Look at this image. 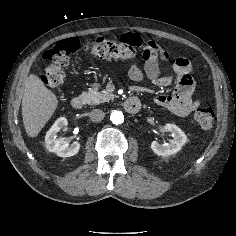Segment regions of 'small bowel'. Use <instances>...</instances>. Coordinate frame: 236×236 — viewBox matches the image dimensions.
I'll return each instance as SVG.
<instances>
[{"label":"small bowel","instance_id":"small-bowel-1","mask_svg":"<svg viewBox=\"0 0 236 236\" xmlns=\"http://www.w3.org/2000/svg\"><path fill=\"white\" fill-rule=\"evenodd\" d=\"M122 41L135 43L145 48L156 47L154 42L145 41L135 34L124 35ZM160 56L163 61L169 60V55L166 52H162ZM128 75L135 82L142 81L144 76H146L158 86H169L175 80L176 87L173 94H161L155 98L157 105L168 109L175 115L187 116L199 106V101L192 98L196 90L192 67L189 60L184 57L176 59L172 65L171 73L167 75L161 74L157 58L147 60L144 65V71L138 66L132 65Z\"/></svg>","mask_w":236,"mask_h":236}]
</instances>
